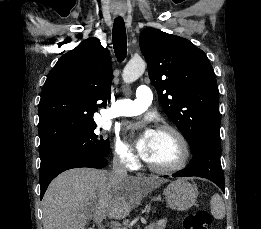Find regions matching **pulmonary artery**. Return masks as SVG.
<instances>
[{"mask_svg":"<svg viewBox=\"0 0 261 229\" xmlns=\"http://www.w3.org/2000/svg\"><path fill=\"white\" fill-rule=\"evenodd\" d=\"M153 99L152 90L147 86H140L136 90V100H120L111 116H136L143 113Z\"/></svg>","mask_w":261,"mask_h":229,"instance_id":"e3ab8cb5","label":"pulmonary artery"}]
</instances>
